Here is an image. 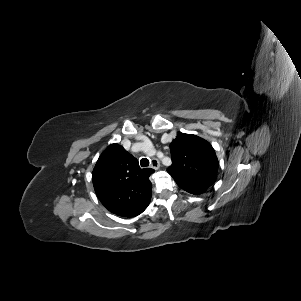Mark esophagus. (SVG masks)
<instances>
[{
    "label": "esophagus",
    "instance_id": "esophagus-1",
    "mask_svg": "<svg viewBox=\"0 0 301 301\" xmlns=\"http://www.w3.org/2000/svg\"><path fill=\"white\" fill-rule=\"evenodd\" d=\"M150 164H151V167L153 169H155V170H157L160 167V162L156 158L151 159V163Z\"/></svg>",
    "mask_w": 301,
    "mask_h": 301
}]
</instances>
